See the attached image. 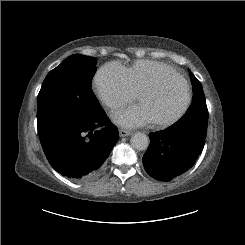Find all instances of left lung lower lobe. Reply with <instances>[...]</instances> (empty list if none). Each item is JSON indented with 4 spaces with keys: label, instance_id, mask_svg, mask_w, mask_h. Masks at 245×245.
<instances>
[{
    "label": "left lung lower lobe",
    "instance_id": "left-lung-lower-lobe-1",
    "mask_svg": "<svg viewBox=\"0 0 245 245\" xmlns=\"http://www.w3.org/2000/svg\"><path fill=\"white\" fill-rule=\"evenodd\" d=\"M149 137L143 165L160 181H170L188 171L202 153L206 138L197 132L170 128L150 133Z\"/></svg>",
    "mask_w": 245,
    "mask_h": 245
}]
</instances>
